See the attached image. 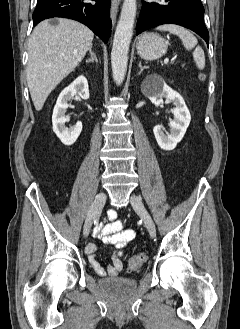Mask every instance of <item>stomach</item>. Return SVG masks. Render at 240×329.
<instances>
[{
    "mask_svg": "<svg viewBox=\"0 0 240 329\" xmlns=\"http://www.w3.org/2000/svg\"><path fill=\"white\" fill-rule=\"evenodd\" d=\"M167 46V42L160 35L145 33L138 40L137 52L143 59L154 60L166 53Z\"/></svg>",
    "mask_w": 240,
    "mask_h": 329,
    "instance_id": "obj_1",
    "label": "stomach"
}]
</instances>
